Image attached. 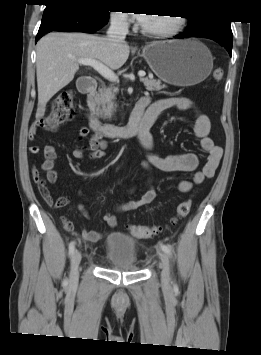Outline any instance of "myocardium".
<instances>
[{
	"instance_id": "1",
	"label": "myocardium",
	"mask_w": 261,
	"mask_h": 355,
	"mask_svg": "<svg viewBox=\"0 0 261 355\" xmlns=\"http://www.w3.org/2000/svg\"><path fill=\"white\" fill-rule=\"evenodd\" d=\"M176 23L171 29L167 30H148L145 29L144 27L141 28V32L148 36V37H153V38H171L177 35L184 27L185 24V18L183 16H175Z\"/></svg>"
}]
</instances>
